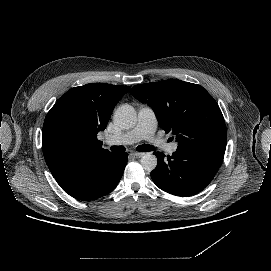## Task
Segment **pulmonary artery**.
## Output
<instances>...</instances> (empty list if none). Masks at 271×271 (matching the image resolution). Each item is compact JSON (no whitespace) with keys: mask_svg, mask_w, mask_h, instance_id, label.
I'll return each instance as SVG.
<instances>
[{"mask_svg":"<svg viewBox=\"0 0 271 271\" xmlns=\"http://www.w3.org/2000/svg\"><path fill=\"white\" fill-rule=\"evenodd\" d=\"M157 128V120L154 111L147 106L138 110L136 124L133 128L118 134L105 137V144L109 146L129 145L141 140H154V133ZM178 143L166 145V151L173 154L177 151Z\"/></svg>","mask_w":271,"mask_h":271,"instance_id":"obj_1","label":"pulmonary artery"}]
</instances>
